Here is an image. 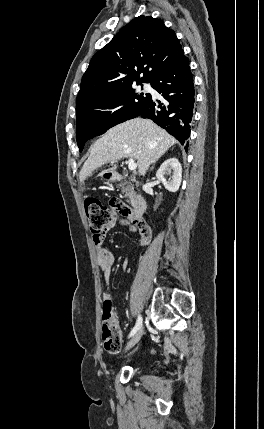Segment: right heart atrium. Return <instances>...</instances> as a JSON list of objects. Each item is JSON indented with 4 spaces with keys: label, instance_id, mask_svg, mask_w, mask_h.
Wrapping results in <instances>:
<instances>
[{
    "label": "right heart atrium",
    "instance_id": "d8ad5b80",
    "mask_svg": "<svg viewBox=\"0 0 264 429\" xmlns=\"http://www.w3.org/2000/svg\"><path fill=\"white\" fill-rule=\"evenodd\" d=\"M112 111H113L114 113H116V112H118V111H119V108H118V107H115V108H113V109H112Z\"/></svg>",
    "mask_w": 264,
    "mask_h": 429
}]
</instances>
